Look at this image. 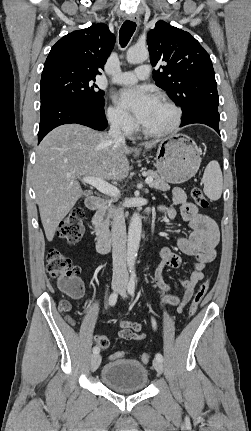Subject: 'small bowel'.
I'll list each match as a JSON object with an SVG mask.
<instances>
[{"mask_svg":"<svg viewBox=\"0 0 251 431\" xmlns=\"http://www.w3.org/2000/svg\"><path fill=\"white\" fill-rule=\"evenodd\" d=\"M177 208L182 218L188 222L192 229L189 237L177 240V247L184 254L193 256L196 262L190 277L179 281L184 289L182 296L166 294L161 299V306H176L177 312L181 313L192 298L198 282L203 279L204 269L217 255L219 230L214 220L208 215L199 212L198 208L187 200L185 192L180 188H175L172 191V205L168 207L160 206L159 210L169 218H174ZM160 256L161 261L155 271V280L157 285L167 292L171 288L163 280V267H178L181 260L168 247L161 250ZM118 323L120 326V330L117 332L118 338L127 341H141L145 338V334L142 332V323L126 320L122 316H119Z\"/></svg>","mask_w":251,"mask_h":431,"instance_id":"c3829d8e","label":"small bowel"}]
</instances>
